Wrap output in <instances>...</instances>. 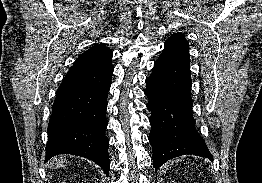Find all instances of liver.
<instances>
[{"label": "liver", "mask_w": 262, "mask_h": 183, "mask_svg": "<svg viewBox=\"0 0 262 183\" xmlns=\"http://www.w3.org/2000/svg\"><path fill=\"white\" fill-rule=\"evenodd\" d=\"M65 158L60 156V157H55L53 159L50 160V162L48 163V167L50 168H60L63 167L65 164Z\"/></svg>", "instance_id": "1"}]
</instances>
